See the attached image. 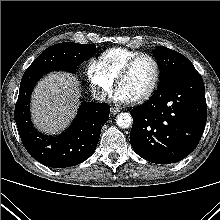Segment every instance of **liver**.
Here are the masks:
<instances>
[{
	"instance_id": "obj_1",
	"label": "liver",
	"mask_w": 220,
	"mask_h": 220,
	"mask_svg": "<svg viewBox=\"0 0 220 220\" xmlns=\"http://www.w3.org/2000/svg\"><path fill=\"white\" fill-rule=\"evenodd\" d=\"M81 97L80 83L67 73H50L36 85L31 99L35 126L48 134L64 129L74 117Z\"/></svg>"
}]
</instances>
